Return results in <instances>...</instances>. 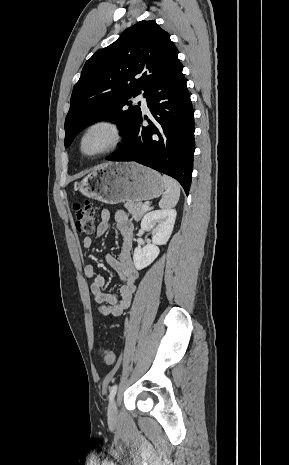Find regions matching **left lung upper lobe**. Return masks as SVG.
<instances>
[{
	"label": "left lung upper lobe",
	"mask_w": 289,
	"mask_h": 465,
	"mask_svg": "<svg viewBox=\"0 0 289 465\" xmlns=\"http://www.w3.org/2000/svg\"><path fill=\"white\" fill-rule=\"evenodd\" d=\"M180 66L177 48L154 20L140 21L126 29L118 40L85 63L65 120V147L79 131L102 118L119 120L125 139L141 115L139 106H132L129 99Z\"/></svg>",
	"instance_id": "obj_1"
}]
</instances>
